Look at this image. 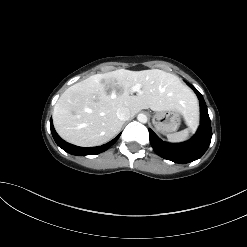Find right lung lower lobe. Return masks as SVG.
Returning a JSON list of instances; mask_svg holds the SVG:
<instances>
[{"label": "right lung lower lobe", "instance_id": "1", "mask_svg": "<svg viewBox=\"0 0 247 247\" xmlns=\"http://www.w3.org/2000/svg\"><path fill=\"white\" fill-rule=\"evenodd\" d=\"M50 129H51V133H52V136H53L55 142L57 143V145L60 148H62L64 151H66L72 155H79V156L95 155V154H99L101 152H104L107 149H109L117 141V139L120 136V134H119L113 140H111L110 142H108L107 144H104L102 146L84 148V147H78V146L69 144V143L65 142L64 140H62L59 137V135L56 133V131L53 127L52 119L50 120Z\"/></svg>", "mask_w": 247, "mask_h": 247}]
</instances>
